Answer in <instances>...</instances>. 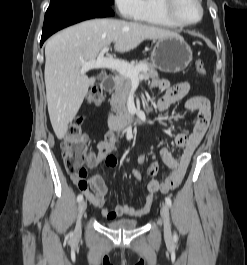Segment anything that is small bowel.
Wrapping results in <instances>:
<instances>
[{
	"mask_svg": "<svg viewBox=\"0 0 247 265\" xmlns=\"http://www.w3.org/2000/svg\"><path fill=\"white\" fill-rule=\"evenodd\" d=\"M152 86L166 91L165 95L157 101L156 108L158 112H164L170 105L183 99L191 88L188 82L171 85L164 79L154 80ZM184 108L186 111H196L198 113L193 131L190 134L178 133L174 137V143L182 149V153L178 159H175L167 148L162 147L160 149L163 162L172 169V173L164 182L153 179L157 173V164L152 162L148 165L147 174L151 179L146 183L148 194L141 208H134L123 204L117 205L112 210L107 209L105 208V202L109 188L101 176L94 175L87 180L86 176L72 175V180L75 185L94 207L101 209V214L104 218L113 220L121 216H143L150 211L158 192L167 193L175 190L181 184L191 157L206 133L211 117L210 102L203 96L190 97L186 100ZM119 141L120 137L115 133L114 129L108 131L104 139L97 144V152L88 153L87 167L93 169L98 164L103 163L109 168H115L117 166L115 154L116 144ZM138 163L141 165L146 163L143 154L139 155ZM133 175L137 180H142V175L138 170H134Z\"/></svg>",
	"mask_w": 247,
	"mask_h": 265,
	"instance_id": "c3829d8e",
	"label": "small bowel"
}]
</instances>
